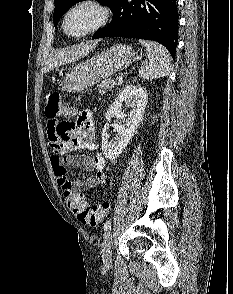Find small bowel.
<instances>
[{
  "label": "small bowel",
  "instance_id": "1",
  "mask_svg": "<svg viewBox=\"0 0 233 294\" xmlns=\"http://www.w3.org/2000/svg\"><path fill=\"white\" fill-rule=\"evenodd\" d=\"M47 135L54 150L50 159L51 165L57 183L63 191H84L106 181V162L96 143V131L90 110L81 111L75 122L65 120V117H48ZM77 150H87L93 155H68ZM68 167H79L92 174L84 180H72L68 176Z\"/></svg>",
  "mask_w": 233,
  "mask_h": 294
}]
</instances>
